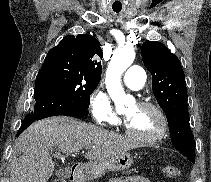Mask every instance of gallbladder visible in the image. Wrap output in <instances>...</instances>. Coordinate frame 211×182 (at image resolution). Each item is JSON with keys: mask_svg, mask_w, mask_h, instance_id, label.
<instances>
[{"mask_svg": "<svg viewBox=\"0 0 211 182\" xmlns=\"http://www.w3.org/2000/svg\"><path fill=\"white\" fill-rule=\"evenodd\" d=\"M57 152V149L56 148H53L52 150H51V152ZM60 174H61V171L59 170V171H57V173H56V175L57 176H60Z\"/></svg>", "mask_w": 211, "mask_h": 182, "instance_id": "bac80fb5", "label": "gallbladder"}]
</instances>
